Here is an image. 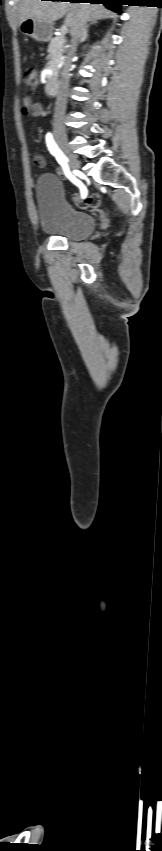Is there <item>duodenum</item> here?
I'll list each match as a JSON object with an SVG mask.
<instances>
[{"label":"duodenum","mask_w":162,"mask_h":851,"mask_svg":"<svg viewBox=\"0 0 162 851\" xmlns=\"http://www.w3.org/2000/svg\"><path fill=\"white\" fill-rule=\"evenodd\" d=\"M58 80L55 78H49L45 84V93L48 96H54L58 91Z\"/></svg>","instance_id":"410a0bca"}]
</instances>
